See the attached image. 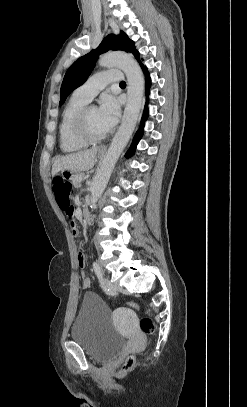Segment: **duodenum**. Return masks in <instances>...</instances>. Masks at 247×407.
<instances>
[{"mask_svg":"<svg viewBox=\"0 0 247 407\" xmlns=\"http://www.w3.org/2000/svg\"><path fill=\"white\" fill-rule=\"evenodd\" d=\"M82 217L84 218V220H85L88 224H90V223L92 222V216H91V213H90V211H89L88 208H86V209H84V210L82 211Z\"/></svg>","mask_w":247,"mask_h":407,"instance_id":"410a0bca","label":"duodenum"}]
</instances>
